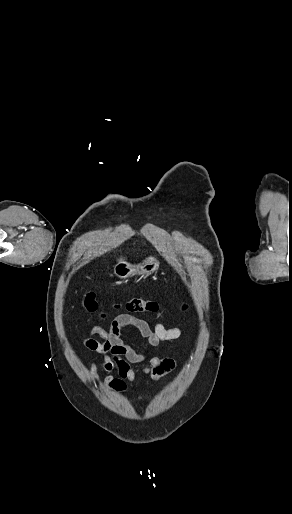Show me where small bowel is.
Segmentation results:
<instances>
[{
  "instance_id": "1",
  "label": "small bowel",
  "mask_w": 292,
  "mask_h": 514,
  "mask_svg": "<svg viewBox=\"0 0 292 514\" xmlns=\"http://www.w3.org/2000/svg\"><path fill=\"white\" fill-rule=\"evenodd\" d=\"M99 318L105 320L107 316L101 312ZM126 326L139 330L147 340L149 351H137L121 338V331ZM182 334L179 327L169 328L161 323L151 327L141 318L127 313L119 314L110 322L108 329L100 325L91 327L89 336L83 340L85 348L100 355L102 369L107 373L102 378L97 363L91 361L88 367L89 376L93 383H103L107 389L117 392L124 391L128 384L135 383L138 375H148L152 381H160L176 369L177 361L170 357L151 355L150 351L157 349L161 342L179 339ZM143 363L146 364L131 366ZM114 371H117L118 376L112 375Z\"/></svg>"
}]
</instances>
